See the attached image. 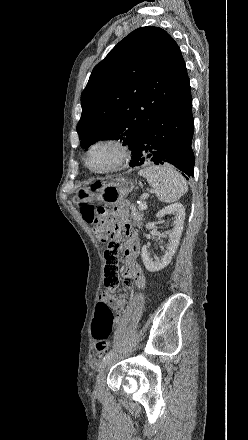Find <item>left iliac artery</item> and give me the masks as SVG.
I'll list each match as a JSON object with an SVG mask.
<instances>
[{
  "mask_svg": "<svg viewBox=\"0 0 248 440\" xmlns=\"http://www.w3.org/2000/svg\"><path fill=\"white\" fill-rule=\"evenodd\" d=\"M112 357H113V352L110 351V352L107 353V354L104 356V358L102 359L101 366L107 364V363L110 361V359H111Z\"/></svg>",
  "mask_w": 248,
  "mask_h": 440,
  "instance_id": "1",
  "label": "left iliac artery"
}]
</instances>
